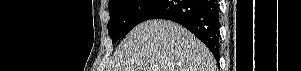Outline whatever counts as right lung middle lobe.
<instances>
[{
  "label": "right lung middle lobe",
  "instance_id": "1",
  "mask_svg": "<svg viewBox=\"0 0 301 71\" xmlns=\"http://www.w3.org/2000/svg\"><path fill=\"white\" fill-rule=\"evenodd\" d=\"M156 0H109L108 34L113 43L124 38Z\"/></svg>",
  "mask_w": 301,
  "mask_h": 71
}]
</instances>
